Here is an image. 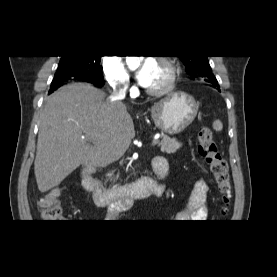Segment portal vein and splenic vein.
Instances as JSON below:
<instances>
[{
  "label": "portal vein and splenic vein",
  "mask_w": 277,
  "mask_h": 277,
  "mask_svg": "<svg viewBox=\"0 0 277 277\" xmlns=\"http://www.w3.org/2000/svg\"><path fill=\"white\" fill-rule=\"evenodd\" d=\"M159 143V138H155L154 140H153V142H152V146H155V145H157Z\"/></svg>",
  "instance_id": "1"
}]
</instances>
